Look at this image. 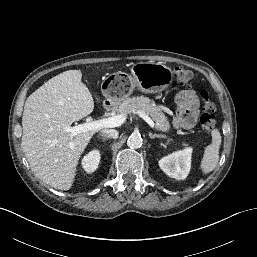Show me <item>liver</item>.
Instances as JSON below:
<instances>
[{
    "mask_svg": "<svg viewBox=\"0 0 257 257\" xmlns=\"http://www.w3.org/2000/svg\"><path fill=\"white\" fill-rule=\"evenodd\" d=\"M81 79L80 70L65 71L33 92L24 105L23 152L35 175L59 190L72 187L79 159L96 132L71 137L64 130L93 112L94 98Z\"/></svg>",
    "mask_w": 257,
    "mask_h": 257,
    "instance_id": "6515ba94",
    "label": "liver"
}]
</instances>
